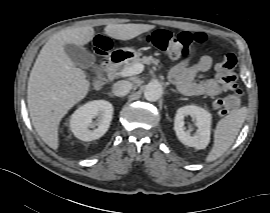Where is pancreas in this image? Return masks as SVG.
<instances>
[{
	"instance_id": "cf45deb5",
	"label": "pancreas",
	"mask_w": 270,
	"mask_h": 213,
	"mask_svg": "<svg viewBox=\"0 0 270 213\" xmlns=\"http://www.w3.org/2000/svg\"><path fill=\"white\" fill-rule=\"evenodd\" d=\"M134 64H147V65L154 64L155 66L159 68L161 67L160 61L158 59L153 58L152 56H144L142 58H139V57L133 58L130 62H125L123 67L125 69Z\"/></svg>"
}]
</instances>
